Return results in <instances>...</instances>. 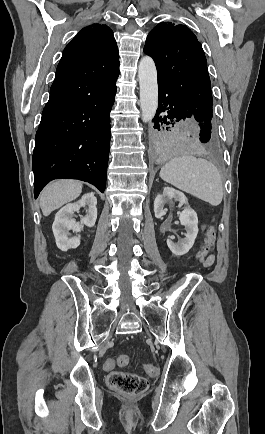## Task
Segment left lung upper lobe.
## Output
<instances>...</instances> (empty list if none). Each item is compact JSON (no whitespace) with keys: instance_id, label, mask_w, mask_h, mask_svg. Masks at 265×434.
<instances>
[{"instance_id":"left-lung-upper-lobe-1","label":"left lung upper lobe","mask_w":265,"mask_h":434,"mask_svg":"<svg viewBox=\"0 0 265 434\" xmlns=\"http://www.w3.org/2000/svg\"><path fill=\"white\" fill-rule=\"evenodd\" d=\"M144 52L155 61L158 81L194 114L214 123L207 61L193 32L182 24L162 22L148 34Z\"/></svg>"}]
</instances>
